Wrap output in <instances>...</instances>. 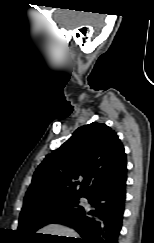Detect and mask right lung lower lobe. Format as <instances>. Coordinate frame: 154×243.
<instances>
[{
    "mask_svg": "<svg viewBox=\"0 0 154 243\" xmlns=\"http://www.w3.org/2000/svg\"><path fill=\"white\" fill-rule=\"evenodd\" d=\"M126 166L93 187L85 198L91 209L78 211L59 218L55 223L74 228L78 239L69 243H118L126 196Z\"/></svg>",
    "mask_w": 154,
    "mask_h": 243,
    "instance_id": "obj_1",
    "label": "right lung lower lobe"
}]
</instances>
